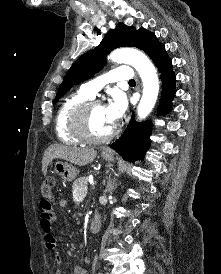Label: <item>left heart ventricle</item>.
Listing matches in <instances>:
<instances>
[{
	"mask_svg": "<svg viewBox=\"0 0 221 274\" xmlns=\"http://www.w3.org/2000/svg\"><path fill=\"white\" fill-rule=\"evenodd\" d=\"M90 130L94 135L102 136L113 129L106 115V106H96L90 113L89 118Z\"/></svg>",
	"mask_w": 221,
	"mask_h": 274,
	"instance_id": "b2bd125f",
	"label": "left heart ventricle"
}]
</instances>
